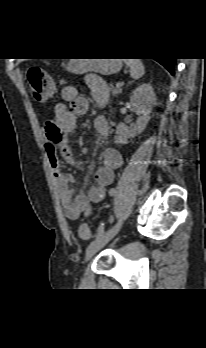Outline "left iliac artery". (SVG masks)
<instances>
[{
	"label": "left iliac artery",
	"mask_w": 206,
	"mask_h": 348,
	"mask_svg": "<svg viewBox=\"0 0 206 348\" xmlns=\"http://www.w3.org/2000/svg\"><path fill=\"white\" fill-rule=\"evenodd\" d=\"M117 193H118V190H117L116 188H113V189H112V194H113V195H116ZM103 233H104V226H103V224H101L100 227H99V229H98L96 239H97L98 237H100Z\"/></svg>",
	"instance_id": "1"
}]
</instances>
